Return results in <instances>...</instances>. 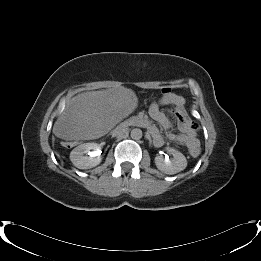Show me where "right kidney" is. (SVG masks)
Instances as JSON below:
<instances>
[{
  "label": "right kidney",
  "instance_id": "1",
  "mask_svg": "<svg viewBox=\"0 0 261 261\" xmlns=\"http://www.w3.org/2000/svg\"><path fill=\"white\" fill-rule=\"evenodd\" d=\"M100 155L101 146L97 143L89 142L74 148L70 153V160L79 169H90L100 164Z\"/></svg>",
  "mask_w": 261,
  "mask_h": 261
}]
</instances>
